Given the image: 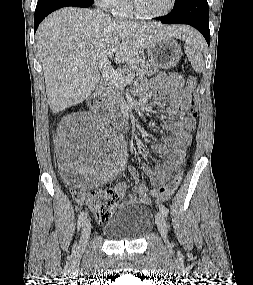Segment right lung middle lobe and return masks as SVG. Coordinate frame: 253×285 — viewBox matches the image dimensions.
<instances>
[{"mask_svg": "<svg viewBox=\"0 0 253 285\" xmlns=\"http://www.w3.org/2000/svg\"><path fill=\"white\" fill-rule=\"evenodd\" d=\"M80 1H86V2H91V3H93V0H80Z\"/></svg>", "mask_w": 253, "mask_h": 285, "instance_id": "right-lung-middle-lobe-1", "label": "right lung middle lobe"}]
</instances>
